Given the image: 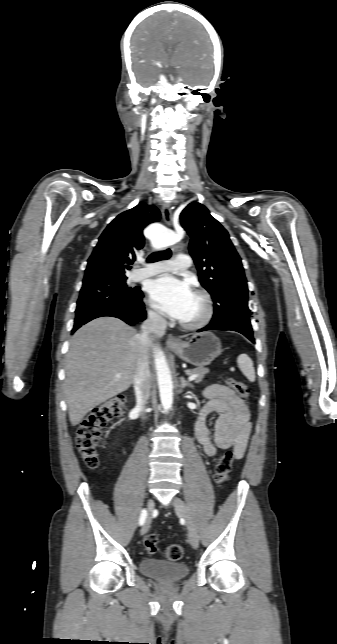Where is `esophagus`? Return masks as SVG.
<instances>
[{
	"label": "esophagus",
	"instance_id": "esophagus-1",
	"mask_svg": "<svg viewBox=\"0 0 337 644\" xmlns=\"http://www.w3.org/2000/svg\"><path fill=\"white\" fill-rule=\"evenodd\" d=\"M162 217L166 225L171 226L172 225V207L169 204H165L162 208ZM176 246H172V250H176ZM180 344V340L173 336L170 335L167 339V345L169 346H177Z\"/></svg>",
	"mask_w": 337,
	"mask_h": 644
}]
</instances>
